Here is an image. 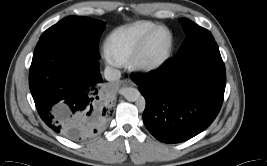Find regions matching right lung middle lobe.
<instances>
[{
    "instance_id": "dd1d6c3e",
    "label": "right lung middle lobe",
    "mask_w": 267,
    "mask_h": 166,
    "mask_svg": "<svg viewBox=\"0 0 267 166\" xmlns=\"http://www.w3.org/2000/svg\"><path fill=\"white\" fill-rule=\"evenodd\" d=\"M105 29V22L81 16H70L62 19L40 37H55L76 44L97 58L100 57L98 43Z\"/></svg>"
}]
</instances>
